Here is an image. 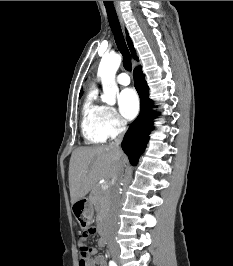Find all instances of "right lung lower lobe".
Wrapping results in <instances>:
<instances>
[{"mask_svg": "<svg viewBox=\"0 0 233 266\" xmlns=\"http://www.w3.org/2000/svg\"><path fill=\"white\" fill-rule=\"evenodd\" d=\"M133 75L135 88L141 100V110L139 116L130 124L121 146L130 163L135 166L149 141L150 132L154 129L153 120L159 113L152 110L153 102L148 98L149 88L141 66L134 69Z\"/></svg>", "mask_w": 233, "mask_h": 266, "instance_id": "right-lung-lower-lobe-1", "label": "right lung lower lobe"}]
</instances>
